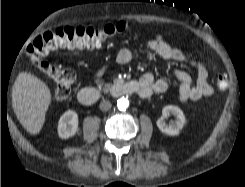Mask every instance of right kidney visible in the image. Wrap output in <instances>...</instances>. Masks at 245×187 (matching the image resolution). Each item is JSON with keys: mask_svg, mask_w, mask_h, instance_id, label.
I'll use <instances>...</instances> for the list:
<instances>
[{"mask_svg": "<svg viewBox=\"0 0 245 187\" xmlns=\"http://www.w3.org/2000/svg\"><path fill=\"white\" fill-rule=\"evenodd\" d=\"M78 131V114L73 110L66 111L58 122V135L62 139L72 137Z\"/></svg>", "mask_w": 245, "mask_h": 187, "instance_id": "right-kidney-1", "label": "right kidney"}]
</instances>
